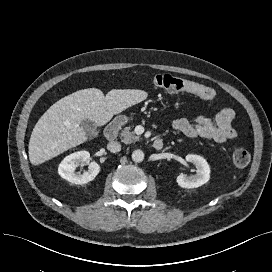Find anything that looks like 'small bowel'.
<instances>
[{"instance_id": "1", "label": "small bowel", "mask_w": 272, "mask_h": 272, "mask_svg": "<svg viewBox=\"0 0 272 272\" xmlns=\"http://www.w3.org/2000/svg\"><path fill=\"white\" fill-rule=\"evenodd\" d=\"M234 111L224 108L214 117L197 116L193 120L178 118L173 128L189 138H203L224 143L236 138L237 132L232 126Z\"/></svg>"}]
</instances>
